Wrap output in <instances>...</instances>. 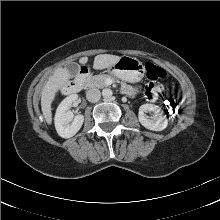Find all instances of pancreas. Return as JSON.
<instances>
[{
  "label": "pancreas",
  "instance_id": "pancreas-1",
  "mask_svg": "<svg viewBox=\"0 0 220 220\" xmlns=\"http://www.w3.org/2000/svg\"><path fill=\"white\" fill-rule=\"evenodd\" d=\"M112 78L115 79V76L113 74H99V75H94V76H88L85 79V85L88 86L89 88H104L106 87V79ZM121 86L123 89H130L135 91V89L129 85H127L125 82H121Z\"/></svg>",
  "mask_w": 220,
  "mask_h": 220
}]
</instances>
